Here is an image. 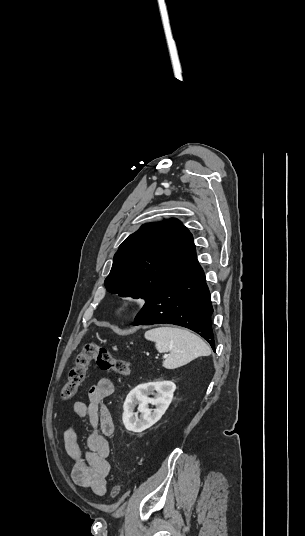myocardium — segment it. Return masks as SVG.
I'll return each mask as SVG.
<instances>
[{
	"label": "myocardium",
	"instance_id": "f54148a6",
	"mask_svg": "<svg viewBox=\"0 0 305 536\" xmlns=\"http://www.w3.org/2000/svg\"><path fill=\"white\" fill-rule=\"evenodd\" d=\"M141 306V302L133 296H125L120 302V310L126 315H133Z\"/></svg>",
	"mask_w": 305,
	"mask_h": 536
}]
</instances>
